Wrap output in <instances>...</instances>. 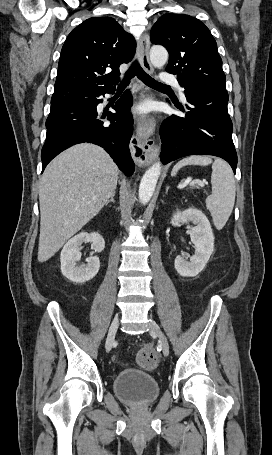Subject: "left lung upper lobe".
Returning <instances> with one entry per match:
<instances>
[{
	"instance_id": "1",
	"label": "left lung upper lobe",
	"mask_w": 272,
	"mask_h": 455,
	"mask_svg": "<svg viewBox=\"0 0 272 455\" xmlns=\"http://www.w3.org/2000/svg\"><path fill=\"white\" fill-rule=\"evenodd\" d=\"M153 44L169 52L166 71L177 75L185 89H226L222 60L209 29L198 19L184 14H164L151 29Z\"/></svg>"
}]
</instances>
